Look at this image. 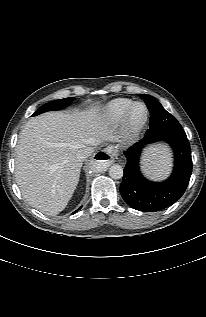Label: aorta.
<instances>
[{
    "instance_id": "aorta-1",
    "label": "aorta",
    "mask_w": 206,
    "mask_h": 317,
    "mask_svg": "<svg viewBox=\"0 0 206 317\" xmlns=\"http://www.w3.org/2000/svg\"><path fill=\"white\" fill-rule=\"evenodd\" d=\"M109 175L113 179H120L123 177V168L118 164H113L109 168Z\"/></svg>"
}]
</instances>
